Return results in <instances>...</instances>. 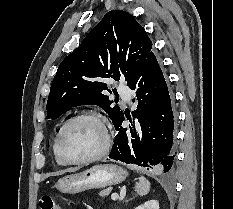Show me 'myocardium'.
Returning <instances> with one entry per match:
<instances>
[{
  "label": "myocardium",
  "mask_w": 233,
  "mask_h": 209,
  "mask_svg": "<svg viewBox=\"0 0 233 209\" xmlns=\"http://www.w3.org/2000/svg\"><path fill=\"white\" fill-rule=\"evenodd\" d=\"M81 119H91L96 121L103 130L104 142L100 150L94 153L93 155L81 159H69L68 157L65 156V154L62 151V141L69 126ZM110 146H111V134L109 132V129L107 127V124L103 116L94 111H83L69 118L60 128L56 141V154L64 164L82 165V164H88L94 162L104 157L108 153Z\"/></svg>",
  "instance_id": "1"
}]
</instances>
